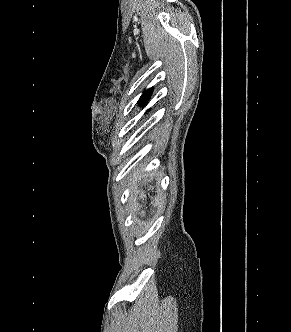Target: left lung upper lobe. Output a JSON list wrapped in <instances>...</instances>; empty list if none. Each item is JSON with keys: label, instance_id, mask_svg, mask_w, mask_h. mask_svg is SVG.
I'll use <instances>...</instances> for the list:
<instances>
[{"label": "left lung upper lobe", "instance_id": "5c2ea615", "mask_svg": "<svg viewBox=\"0 0 291 332\" xmlns=\"http://www.w3.org/2000/svg\"><path fill=\"white\" fill-rule=\"evenodd\" d=\"M152 94V88L145 90L142 94V96L139 99V104H141L142 106H144V104L147 102V100L150 98Z\"/></svg>", "mask_w": 291, "mask_h": 332}]
</instances>
